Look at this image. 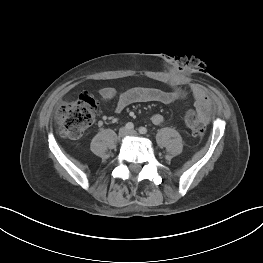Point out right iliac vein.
<instances>
[{"mask_svg":"<svg viewBox=\"0 0 263 263\" xmlns=\"http://www.w3.org/2000/svg\"><path fill=\"white\" fill-rule=\"evenodd\" d=\"M127 135H128V129L126 127L120 128V130L118 132L119 138H124Z\"/></svg>","mask_w":263,"mask_h":263,"instance_id":"right-iliac-vein-1","label":"right iliac vein"}]
</instances>
